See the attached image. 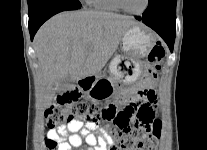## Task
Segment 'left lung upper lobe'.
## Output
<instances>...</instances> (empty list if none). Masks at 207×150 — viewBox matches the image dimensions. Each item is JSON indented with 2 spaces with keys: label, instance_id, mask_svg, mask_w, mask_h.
<instances>
[{
  "label": "left lung upper lobe",
  "instance_id": "5c2ea615",
  "mask_svg": "<svg viewBox=\"0 0 207 150\" xmlns=\"http://www.w3.org/2000/svg\"><path fill=\"white\" fill-rule=\"evenodd\" d=\"M173 5H176V0H149L148 7L142 16L156 15Z\"/></svg>",
  "mask_w": 207,
  "mask_h": 150
}]
</instances>
